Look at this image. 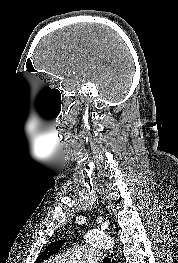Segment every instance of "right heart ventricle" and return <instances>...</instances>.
I'll list each match as a JSON object with an SVG mask.
<instances>
[{
    "label": "right heart ventricle",
    "mask_w": 178,
    "mask_h": 263,
    "mask_svg": "<svg viewBox=\"0 0 178 263\" xmlns=\"http://www.w3.org/2000/svg\"><path fill=\"white\" fill-rule=\"evenodd\" d=\"M49 263H59L56 259L50 260Z\"/></svg>",
    "instance_id": "1"
}]
</instances>
